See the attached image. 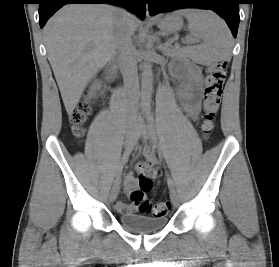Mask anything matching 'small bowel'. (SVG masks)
<instances>
[{"mask_svg":"<svg viewBox=\"0 0 279 267\" xmlns=\"http://www.w3.org/2000/svg\"><path fill=\"white\" fill-rule=\"evenodd\" d=\"M173 74L183 80L182 85L178 89V97L183 108L192 119H196L200 110L197 90L202 84V77L199 69L194 65H187L173 70ZM144 156L146 158V164L153 165L155 163V158L149 150L144 152ZM136 185L137 181L135 176L132 173L127 174L125 177L126 191H134ZM115 207L121 214L133 213L135 211V206L133 204L122 201H118Z\"/></svg>","mask_w":279,"mask_h":267,"instance_id":"c3829d8e","label":"small bowel"}]
</instances>
